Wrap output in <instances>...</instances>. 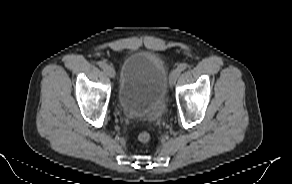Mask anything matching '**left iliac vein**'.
Segmentation results:
<instances>
[{"label":"left iliac vein","instance_id":"1","mask_svg":"<svg viewBox=\"0 0 292 184\" xmlns=\"http://www.w3.org/2000/svg\"><path fill=\"white\" fill-rule=\"evenodd\" d=\"M180 72L177 69H174L171 74H170V78H169V84L170 87H173L174 84L176 83L177 78L179 77Z\"/></svg>","mask_w":292,"mask_h":184}]
</instances>
